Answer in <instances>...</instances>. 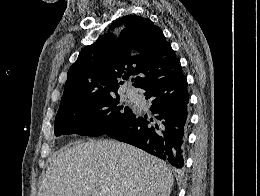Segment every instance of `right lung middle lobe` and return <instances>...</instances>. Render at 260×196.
Here are the masks:
<instances>
[{
	"label": "right lung middle lobe",
	"mask_w": 260,
	"mask_h": 196,
	"mask_svg": "<svg viewBox=\"0 0 260 196\" xmlns=\"http://www.w3.org/2000/svg\"><path fill=\"white\" fill-rule=\"evenodd\" d=\"M137 115L129 107L119 105L117 93L94 94L59 110L55 118L54 133L56 136H101Z\"/></svg>",
	"instance_id": "1"
}]
</instances>
